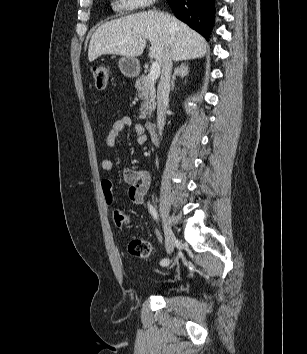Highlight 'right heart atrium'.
Segmentation results:
<instances>
[{
    "label": "right heart atrium",
    "instance_id": "1",
    "mask_svg": "<svg viewBox=\"0 0 307 354\" xmlns=\"http://www.w3.org/2000/svg\"><path fill=\"white\" fill-rule=\"evenodd\" d=\"M155 0H117L119 8L124 10H135L151 6Z\"/></svg>",
    "mask_w": 307,
    "mask_h": 354
}]
</instances>
